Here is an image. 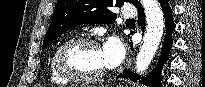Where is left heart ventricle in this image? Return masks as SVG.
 <instances>
[{"instance_id":"1","label":"left heart ventricle","mask_w":205,"mask_h":87,"mask_svg":"<svg viewBox=\"0 0 205 87\" xmlns=\"http://www.w3.org/2000/svg\"><path fill=\"white\" fill-rule=\"evenodd\" d=\"M61 59L64 68L80 75H93L105 66L102 50L87 44L68 48Z\"/></svg>"}]
</instances>
